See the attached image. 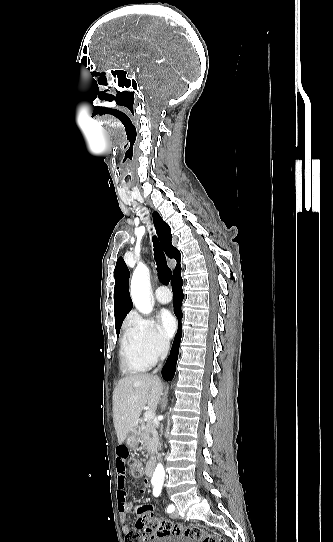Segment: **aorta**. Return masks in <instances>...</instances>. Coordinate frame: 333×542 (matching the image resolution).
<instances>
[{
	"label": "aorta",
	"instance_id": "1",
	"mask_svg": "<svg viewBox=\"0 0 333 542\" xmlns=\"http://www.w3.org/2000/svg\"><path fill=\"white\" fill-rule=\"evenodd\" d=\"M148 272L149 270L146 266H139V268L134 270L131 280V300L135 308H137L141 314H150L154 306L151 298ZM164 478L165 470L162 464H157L152 476L151 484H153L154 488H162Z\"/></svg>",
	"mask_w": 333,
	"mask_h": 542
}]
</instances>
